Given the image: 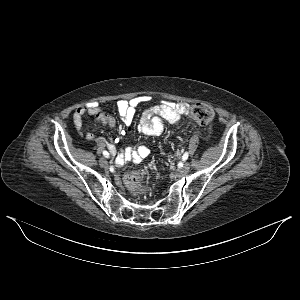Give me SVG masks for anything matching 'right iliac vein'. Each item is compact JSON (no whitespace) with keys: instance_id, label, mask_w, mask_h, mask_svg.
Instances as JSON below:
<instances>
[{"instance_id":"1","label":"right iliac vein","mask_w":300,"mask_h":300,"mask_svg":"<svg viewBox=\"0 0 300 300\" xmlns=\"http://www.w3.org/2000/svg\"><path fill=\"white\" fill-rule=\"evenodd\" d=\"M99 163H100L101 167H104V168L108 167V161L104 157L100 158Z\"/></svg>"}]
</instances>
